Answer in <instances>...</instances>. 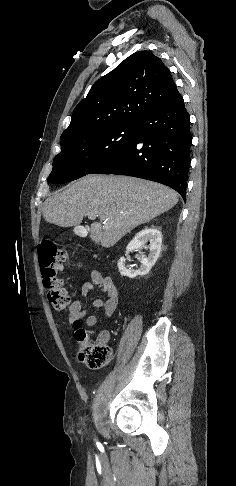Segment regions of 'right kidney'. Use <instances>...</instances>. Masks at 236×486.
Returning a JSON list of instances; mask_svg holds the SVG:
<instances>
[{
	"label": "right kidney",
	"instance_id": "right-kidney-1",
	"mask_svg": "<svg viewBox=\"0 0 236 486\" xmlns=\"http://www.w3.org/2000/svg\"><path fill=\"white\" fill-rule=\"evenodd\" d=\"M146 242L150 243L148 256L141 255V265L136 271L127 270L124 267L125 258L121 257L118 261V269L122 276L135 278L137 276H144L149 273L151 268L156 263L162 245V234L156 228H146L140 231L134 239L127 245L126 251L140 250L145 247Z\"/></svg>",
	"mask_w": 236,
	"mask_h": 486
}]
</instances>
